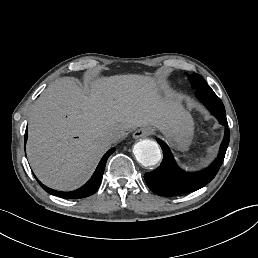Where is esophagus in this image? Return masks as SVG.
I'll return each mask as SVG.
<instances>
[{"label": "esophagus", "instance_id": "1", "mask_svg": "<svg viewBox=\"0 0 258 258\" xmlns=\"http://www.w3.org/2000/svg\"><path fill=\"white\" fill-rule=\"evenodd\" d=\"M152 134V130L149 128H139L133 133L134 139H141Z\"/></svg>", "mask_w": 258, "mask_h": 258}]
</instances>
